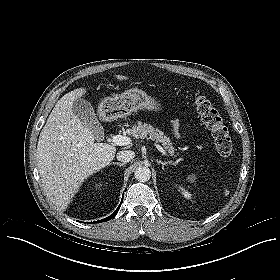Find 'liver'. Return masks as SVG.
<instances>
[{
  "instance_id": "6515ba94",
  "label": "liver",
  "mask_w": 280,
  "mask_h": 280,
  "mask_svg": "<svg viewBox=\"0 0 280 280\" xmlns=\"http://www.w3.org/2000/svg\"><path fill=\"white\" fill-rule=\"evenodd\" d=\"M120 81L126 76L116 75ZM86 93L77 88L61 97L50 113L37 144V168L47 197L65 209L79 186L115 157L116 147L94 143L91 129L73 114L75 99Z\"/></svg>"
}]
</instances>
